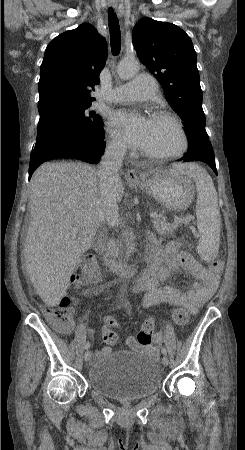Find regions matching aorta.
<instances>
[{"instance_id":"762f6f07","label":"aorta","mask_w":245,"mask_h":450,"mask_svg":"<svg viewBox=\"0 0 245 450\" xmlns=\"http://www.w3.org/2000/svg\"><path fill=\"white\" fill-rule=\"evenodd\" d=\"M139 70V63L137 60H123L117 67V73L122 79H129L133 77Z\"/></svg>"}]
</instances>
